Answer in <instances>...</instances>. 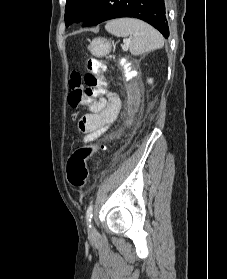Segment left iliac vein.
<instances>
[{
  "label": "left iliac vein",
  "mask_w": 227,
  "mask_h": 279,
  "mask_svg": "<svg viewBox=\"0 0 227 279\" xmlns=\"http://www.w3.org/2000/svg\"><path fill=\"white\" fill-rule=\"evenodd\" d=\"M95 233H96V230L92 227V228L89 230V236L92 238V237H94Z\"/></svg>",
  "instance_id": "4c4485c4"
}]
</instances>
